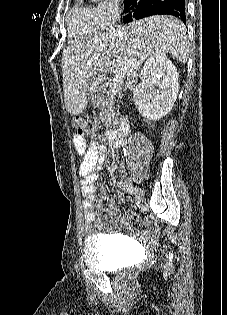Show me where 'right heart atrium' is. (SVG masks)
Here are the masks:
<instances>
[{"label":"right heart atrium","mask_w":227,"mask_h":315,"mask_svg":"<svg viewBox=\"0 0 227 315\" xmlns=\"http://www.w3.org/2000/svg\"><path fill=\"white\" fill-rule=\"evenodd\" d=\"M120 11L118 0H102L92 7L93 16L99 29L111 26L119 17Z\"/></svg>","instance_id":"obj_1"}]
</instances>
